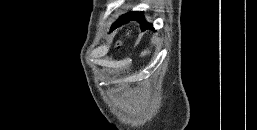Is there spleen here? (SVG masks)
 <instances>
[{
	"instance_id": "spleen-1",
	"label": "spleen",
	"mask_w": 257,
	"mask_h": 130,
	"mask_svg": "<svg viewBox=\"0 0 257 130\" xmlns=\"http://www.w3.org/2000/svg\"><path fill=\"white\" fill-rule=\"evenodd\" d=\"M149 53V51H148ZM147 54V50H144L142 53H141V56H145Z\"/></svg>"
}]
</instances>
